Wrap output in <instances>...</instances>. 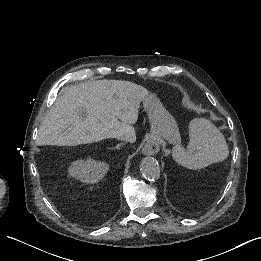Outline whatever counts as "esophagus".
<instances>
[{
  "mask_svg": "<svg viewBox=\"0 0 261 261\" xmlns=\"http://www.w3.org/2000/svg\"><path fill=\"white\" fill-rule=\"evenodd\" d=\"M160 150L158 141L149 140L143 148L144 155H154Z\"/></svg>",
  "mask_w": 261,
  "mask_h": 261,
  "instance_id": "obj_1",
  "label": "esophagus"
}]
</instances>
